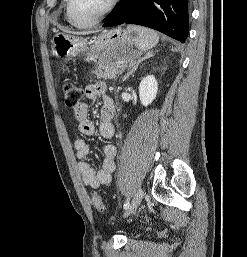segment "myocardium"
<instances>
[{"label": "myocardium", "mask_w": 247, "mask_h": 257, "mask_svg": "<svg viewBox=\"0 0 247 257\" xmlns=\"http://www.w3.org/2000/svg\"><path fill=\"white\" fill-rule=\"evenodd\" d=\"M65 2H66V13L69 18V21L76 27L89 28V27H92V26L98 24L108 14H110L113 11V9L116 7V5L118 4L119 0H110L107 7L95 19H93L90 22H86V23H81L74 18L73 13H72V0H65Z\"/></svg>", "instance_id": "obj_1"}]
</instances>
